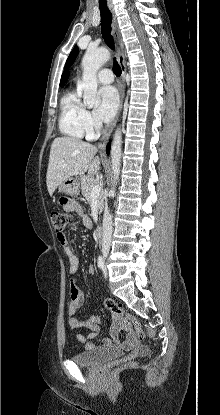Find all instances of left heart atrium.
Masks as SVG:
<instances>
[{
  "label": "left heart atrium",
  "instance_id": "obj_1",
  "mask_svg": "<svg viewBox=\"0 0 220 415\" xmlns=\"http://www.w3.org/2000/svg\"><path fill=\"white\" fill-rule=\"evenodd\" d=\"M100 103L95 116L100 122H110L116 114L119 105V97L112 86L102 87L99 91Z\"/></svg>",
  "mask_w": 220,
  "mask_h": 415
}]
</instances>
